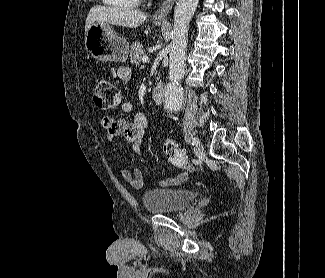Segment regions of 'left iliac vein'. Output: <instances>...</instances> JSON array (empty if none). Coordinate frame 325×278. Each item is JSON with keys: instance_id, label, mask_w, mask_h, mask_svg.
<instances>
[{"instance_id": "obj_1", "label": "left iliac vein", "mask_w": 325, "mask_h": 278, "mask_svg": "<svg viewBox=\"0 0 325 278\" xmlns=\"http://www.w3.org/2000/svg\"><path fill=\"white\" fill-rule=\"evenodd\" d=\"M194 152L196 154L197 157L202 158L205 155L204 152V148L203 145L200 141H198V143H196L195 148H194Z\"/></svg>"}]
</instances>
